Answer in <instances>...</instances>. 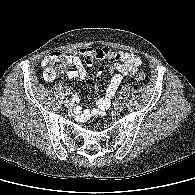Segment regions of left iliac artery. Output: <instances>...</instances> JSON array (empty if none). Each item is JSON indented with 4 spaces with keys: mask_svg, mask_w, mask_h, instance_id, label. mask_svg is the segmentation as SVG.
I'll use <instances>...</instances> for the list:
<instances>
[{
    "mask_svg": "<svg viewBox=\"0 0 195 195\" xmlns=\"http://www.w3.org/2000/svg\"><path fill=\"white\" fill-rule=\"evenodd\" d=\"M118 99L121 101L123 99V97L120 95Z\"/></svg>",
    "mask_w": 195,
    "mask_h": 195,
    "instance_id": "44dca946",
    "label": "left iliac artery"
}]
</instances>
